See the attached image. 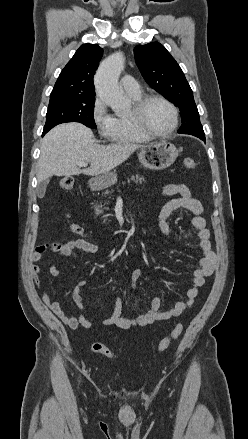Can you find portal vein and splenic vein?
<instances>
[{
  "mask_svg": "<svg viewBox=\"0 0 248 439\" xmlns=\"http://www.w3.org/2000/svg\"><path fill=\"white\" fill-rule=\"evenodd\" d=\"M77 165L79 167H86L88 165V163H86V162H78Z\"/></svg>",
  "mask_w": 248,
  "mask_h": 439,
  "instance_id": "18ae733b",
  "label": "portal vein and splenic vein"
}]
</instances>
